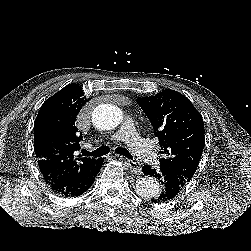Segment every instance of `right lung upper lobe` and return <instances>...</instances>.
Here are the masks:
<instances>
[{
	"label": "right lung upper lobe",
	"instance_id": "obj_1",
	"mask_svg": "<svg viewBox=\"0 0 251 251\" xmlns=\"http://www.w3.org/2000/svg\"><path fill=\"white\" fill-rule=\"evenodd\" d=\"M89 100L79 84L71 83L41 106L34 124V150L47 182L87 172L99 162L77 155L83 137L76 117Z\"/></svg>",
	"mask_w": 251,
	"mask_h": 251
}]
</instances>
